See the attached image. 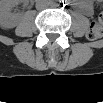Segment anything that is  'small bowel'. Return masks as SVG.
Instances as JSON below:
<instances>
[{
  "label": "small bowel",
  "instance_id": "small-bowel-1",
  "mask_svg": "<svg viewBox=\"0 0 103 103\" xmlns=\"http://www.w3.org/2000/svg\"><path fill=\"white\" fill-rule=\"evenodd\" d=\"M76 9L78 10V12L88 17L94 14V8L89 2H81L76 4Z\"/></svg>",
  "mask_w": 103,
  "mask_h": 103
}]
</instances>
